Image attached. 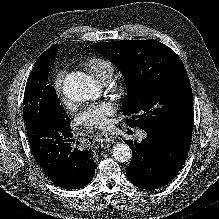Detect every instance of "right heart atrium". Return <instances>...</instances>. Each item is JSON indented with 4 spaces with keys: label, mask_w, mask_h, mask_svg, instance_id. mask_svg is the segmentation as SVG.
I'll list each match as a JSON object with an SVG mask.
<instances>
[{
    "label": "right heart atrium",
    "mask_w": 219,
    "mask_h": 219,
    "mask_svg": "<svg viewBox=\"0 0 219 219\" xmlns=\"http://www.w3.org/2000/svg\"><path fill=\"white\" fill-rule=\"evenodd\" d=\"M65 76H66L65 69H60L57 71L55 78H54V88L57 92L61 91Z\"/></svg>",
    "instance_id": "obj_1"
}]
</instances>
